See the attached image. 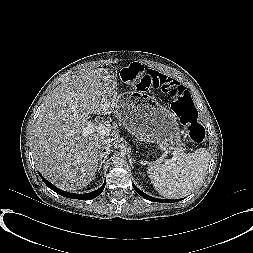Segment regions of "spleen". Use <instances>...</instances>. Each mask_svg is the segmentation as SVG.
Here are the masks:
<instances>
[{
	"label": "spleen",
	"instance_id": "spleen-1",
	"mask_svg": "<svg viewBox=\"0 0 253 253\" xmlns=\"http://www.w3.org/2000/svg\"><path fill=\"white\" fill-rule=\"evenodd\" d=\"M209 160V151L199 148L164 164L151 166L148 176L160 195L168 199H178L187 196L201 183Z\"/></svg>",
	"mask_w": 253,
	"mask_h": 253
}]
</instances>
